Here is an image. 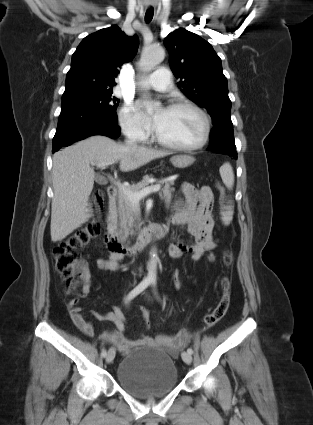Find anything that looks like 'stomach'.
<instances>
[{
  "label": "stomach",
  "instance_id": "0dacf381",
  "mask_svg": "<svg viewBox=\"0 0 313 425\" xmlns=\"http://www.w3.org/2000/svg\"><path fill=\"white\" fill-rule=\"evenodd\" d=\"M170 161L174 167L183 169L194 163L195 158L190 155L181 154L173 156Z\"/></svg>",
  "mask_w": 313,
  "mask_h": 425
}]
</instances>
